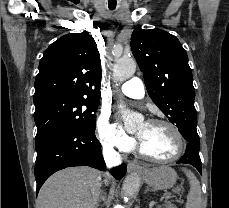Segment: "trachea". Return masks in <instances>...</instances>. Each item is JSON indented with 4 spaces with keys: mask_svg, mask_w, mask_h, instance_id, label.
I'll use <instances>...</instances> for the list:
<instances>
[{
    "mask_svg": "<svg viewBox=\"0 0 229 208\" xmlns=\"http://www.w3.org/2000/svg\"><path fill=\"white\" fill-rule=\"evenodd\" d=\"M116 7H109V10H115Z\"/></svg>",
    "mask_w": 229,
    "mask_h": 208,
    "instance_id": "1",
    "label": "trachea"
}]
</instances>
